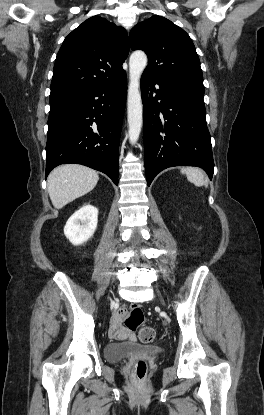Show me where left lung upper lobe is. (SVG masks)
<instances>
[{"label":"left lung upper lobe","instance_id":"1","mask_svg":"<svg viewBox=\"0 0 264 415\" xmlns=\"http://www.w3.org/2000/svg\"><path fill=\"white\" fill-rule=\"evenodd\" d=\"M130 46L148 56L143 73L170 83L203 86L200 60L189 35L162 16L138 23L130 32Z\"/></svg>","mask_w":264,"mask_h":415}]
</instances>
